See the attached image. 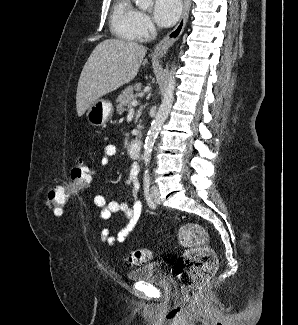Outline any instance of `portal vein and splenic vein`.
<instances>
[{
    "label": "portal vein and splenic vein",
    "instance_id": "obj_1",
    "mask_svg": "<svg viewBox=\"0 0 298 325\" xmlns=\"http://www.w3.org/2000/svg\"><path fill=\"white\" fill-rule=\"evenodd\" d=\"M131 104L132 106H129L128 112H135V106H137L138 100H132Z\"/></svg>",
    "mask_w": 298,
    "mask_h": 325
}]
</instances>
